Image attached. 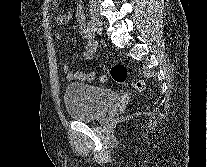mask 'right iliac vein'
Listing matches in <instances>:
<instances>
[{
	"label": "right iliac vein",
	"instance_id": "right-iliac-vein-1",
	"mask_svg": "<svg viewBox=\"0 0 207 167\" xmlns=\"http://www.w3.org/2000/svg\"><path fill=\"white\" fill-rule=\"evenodd\" d=\"M91 22H92V25L95 29V31L98 33V34H101L102 33V23L99 19V16L96 12V9H92L91 10Z\"/></svg>",
	"mask_w": 207,
	"mask_h": 167
}]
</instances>
